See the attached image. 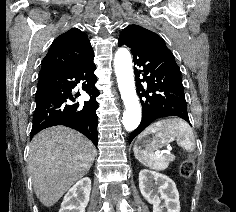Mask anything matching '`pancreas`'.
Instances as JSON below:
<instances>
[{
  "label": "pancreas",
  "instance_id": "obj_1",
  "mask_svg": "<svg viewBox=\"0 0 236 212\" xmlns=\"http://www.w3.org/2000/svg\"><path fill=\"white\" fill-rule=\"evenodd\" d=\"M174 159V156H167L168 161H172Z\"/></svg>",
  "mask_w": 236,
  "mask_h": 212
}]
</instances>
